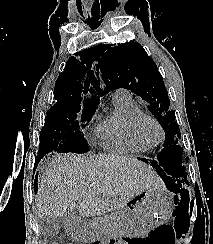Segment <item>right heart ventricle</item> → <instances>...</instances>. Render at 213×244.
Wrapping results in <instances>:
<instances>
[{
    "label": "right heart ventricle",
    "mask_w": 213,
    "mask_h": 244,
    "mask_svg": "<svg viewBox=\"0 0 213 244\" xmlns=\"http://www.w3.org/2000/svg\"><path fill=\"white\" fill-rule=\"evenodd\" d=\"M114 111L103 118L95 129L100 146L116 153H144L152 146L140 141L132 131L134 119L143 114L132 96H113Z\"/></svg>",
    "instance_id": "right-heart-ventricle-1"
}]
</instances>
